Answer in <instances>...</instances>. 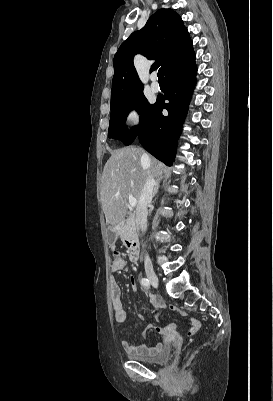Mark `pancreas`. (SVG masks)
Listing matches in <instances>:
<instances>
[{"mask_svg":"<svg viewBox=\"0 0 273 401\" xmlns=\"http://www.w3.org/2000/svg\"><path fill=\"white\" fill-rule=\"evenodd\" d=\"M118 231H121V239H124L125 235V227H124V223H120V225H118L117 227Z\"/></svg>","mask_w":273,"mask_h":401,"instance_id":"1","label":"pancreas"}]
</instances>
